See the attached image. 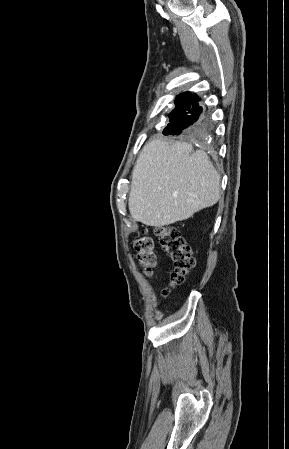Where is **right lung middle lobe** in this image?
Returning a JSON list of instances; mask_svg holds the SVG:
<instances>
[{
	"mask_svg": "<svg viewBox=\"0 0 289 449\" xmlns=\"http://www.w3.org/2000/svg\"><path fill=\"white\" fill-rule=\"evenodd\" d=\"M171 116H172V114L170 113L169 114V118H171ZM163 134L164 135H170L171 134L170 131H169V127L168 126L164 129ZM171 135H174V134H171Z\"/></svg>",
	"mask_w": 289,
	"mask_h": 449,
	"instance_id": "right-lung-middle-lobe-1",
	"label": "right lung middle lobe"
}]
</instances>
